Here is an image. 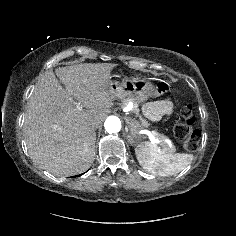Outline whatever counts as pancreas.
<instances>
[{
    "label": "pancreas",
    "mask_w": 236,
    "mask_h": 236,
    "mask_svg": "<svg viewBox=\"0 0 236 236\" xmlns=\"http://www.w3.org/2000/svg\"><path fill=\"white\" fill-rule=\"evenodd\" d=\"M133 111L138 115L139 110H138V108H137V105L134 106ZM139 119H140V125H141L142 127H148V126H149V124L147 123V121L144 120V119H142L141 116H139ZM155 133H156V134H155V137L161 141V142H160V145L163 147V149H164L165 151H167V152H174V151H175V146L172 145V144H169V143L167 142L168 139H167L166 136H164L163 134H159V133H157V132H155Z\"/></svg>",
    "instance_id": "pancreas-1"
}]
</instances>
